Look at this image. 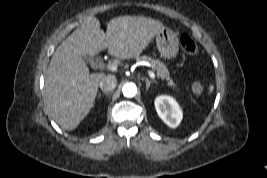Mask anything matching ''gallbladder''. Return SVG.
Listing matches in <instances>:
<instances>
[{
	"mask_svg": "<svg viewBox=\"0 0 267 178\" xmlns=\"http://www.w3.org/2000/svg\"><path fill=\"white\" fill-rule=\"evenodd\" d=\"M85 60H86L88 63H90V64H93V62H94V58L91 57V56H87V57H85Z\"/></svg>",
	"mask_w": 267,
	"mask_h": 178,
	"instance_id": "gallbladder-1",
	"label": "gallbladder"
}]
</instances>
